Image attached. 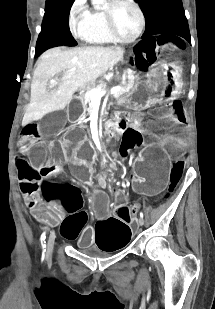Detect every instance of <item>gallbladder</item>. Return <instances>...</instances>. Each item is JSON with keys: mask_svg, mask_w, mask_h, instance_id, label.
Instances as JSON below:
<instances>
[{"mask_svg": "<svg viewBox=\"0 0 215 309\" xmlns=\"http://www.w3.org/2000/svg\"><path fill=\"white\" fill-rule=\"evenodd\" d=\"M64 112L56 111L55 113H46L41 125H38L37 130L41 134H53V132H60L63 125Z\"/></svg>", "mask_w": 215, "mask_h": 309, "instance_id": "obj_1", "label": "gallbladder"}]
</instances>
